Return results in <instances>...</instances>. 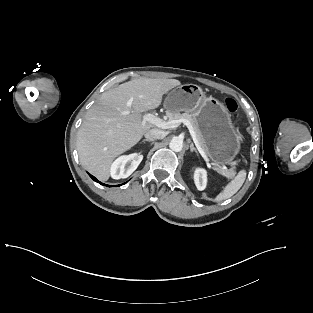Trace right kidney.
<instances>
[{"instance_id": "obj_1", "label": "right kidney", "mask_w": 313, "mask_h": 313, "mask_svg": "<svg viewBox=\"0 0 313 313\" xmlns=\"http://www.w3.org/2000/svg\"><path fill=\"white\" fill-rule=\"evenodd\" d=\"M142 159L143 155L138 153L120 156L111 165V177L113 179L127 178L137 169Z\"/></svg>"}]
</instances>
